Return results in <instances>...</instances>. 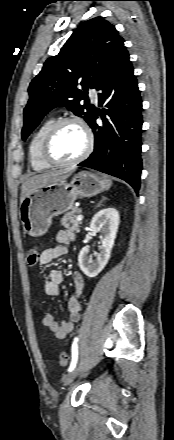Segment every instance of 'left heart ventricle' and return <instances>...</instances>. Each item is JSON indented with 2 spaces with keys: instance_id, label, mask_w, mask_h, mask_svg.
<instances>
[{
  "instance_id": "1",
  "label": "left heart ventricle",
  "mask_w": 174,
  "mask_h": 440,
  "mask_svg": "<svg viewBox=\"0 0 174 440\" xmlns=\"http://www.w3.org/2000/svg\"><path fill=\"white\" fill-rule=\"evenodd\" d=\"M86 144L82 128L67 123L59 128L51 144V154L58 161H69L81 154Z\"/></svg>"
}]
</instances>
